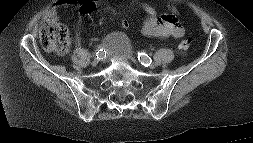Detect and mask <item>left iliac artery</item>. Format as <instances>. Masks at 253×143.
<instances>
[{
	"mask_svg": "<svg viewBox=\"0 0 253 143\" xmlns=\"http://www.w3.org/2000/svg\"><path fill=\"white\" fill-rule=\"evenodd\" d=\"M138 60L141 62L142 65H144L146 67L152 63L151 57H149L144 52H138Z\"/></svg>",
	"mask_w": 253,
	"mask_h": 143,
	"instance_id": "44dca946",
	"label": "left iliac artery"
}]
</instances>
